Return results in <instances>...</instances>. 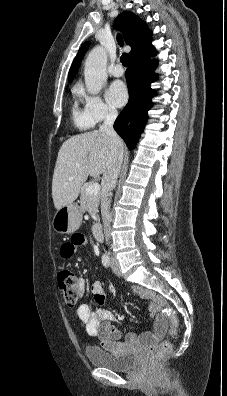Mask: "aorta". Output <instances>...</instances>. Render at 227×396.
I'll list each match as a JSON object with an SVG mask.
<instances>
[{"instance_id":"1","label":"aorta","mask_w":227,"mask_h":396,"mask_svg":"<svg viewBox=\"0 0 227 396\" xmlns=\"http://www.w3.org/2000/svg\"><path fill=\"white\" fill-rule=\"evenodd\" d=\"M107 53L101 46H96L89 53L84 68L87 91L92 95L100 93L107 80Z\"/></svg>"}]
</instances>
